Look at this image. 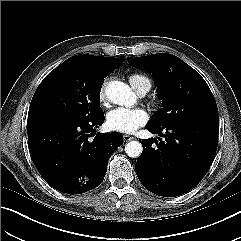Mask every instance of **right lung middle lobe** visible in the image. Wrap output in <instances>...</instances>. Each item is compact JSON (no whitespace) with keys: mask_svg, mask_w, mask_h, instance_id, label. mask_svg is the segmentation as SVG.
<instances>
[{"mask_svg":"<svg viewBox=\"0 0 241 241\" xmlns=\"http://www.w3.org/2000/svg\"><path fill=\"white\" fill-rule=\"evenodd\" d=\"M105 77L84 72L75 61L67 59L38 86L28 121L44 117L90 120L103 114L100 91Z\"/></svg>","mask_w":241,"mask_h":241,"instance_id":"1","label":"right lung middle lobe"}]
</instances>
